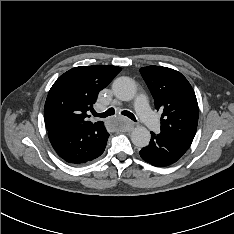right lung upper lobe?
I'll list each match as a JSON object with an SVG mask.
<instances>
[{"label": "right lung upper lobe", "mask_w": 234, "mask_h": 234, "mask_svg": "<svg viewBox=\"0 0 234 234\" xmlns=\"http://www.w3.org/2000/svg\"><path fill=\"white\" fill-rule=\"evenodd\" d=\"M121 71L118 66H79L61 75L51 87L44 106L47 131L92 122L87 118L93 110L100 90ZM94 124H103L98 121Z\"/></svg>", "instance_id": "obj_1"}]
</instances>
